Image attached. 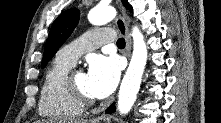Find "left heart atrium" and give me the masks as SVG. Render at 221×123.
Wrapping results in <instances>:
<instances>
[{
    "instance_id": "39dd6f15",
    "label": "left heart atrium",
    "mask_w": 221,
    "mask_h": 123,
    "mask_svg": "<svg viewBox=\"0 0 221 123\" xmlns=\"http://www.w3.org/2000/svg\"><path fill=\"white\" fill-rule=\"evenodd\" d=\"M120 66L115 57L97 55L89 61L87 77L96 98L110 95L119 80Z\"/></svg>"
}]
</instances>
